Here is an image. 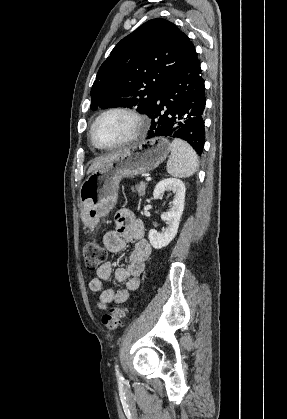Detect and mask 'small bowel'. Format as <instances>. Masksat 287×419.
I'll list each match as a JSON object with an SVG mask.
<instances>
[{
  "instance_id": "obj_1",
  "label": "small bowel",
  "mask_w": 287,
  "mask_h": 419,
  "mask_svg": "<svg viewBox=\"0 0 287 419\" xmlns=\"http://www.w3.org/2000/svg\"><path fill=\"white\" fill-rule=\"evenodd\" d=\"M115 229L107 231L103 236L105 247L113 253L125 249L126 245L134 242V248L129 255L127 267L113 270L112 264L107 262L97 269V276L90 281V289L99 292L98 306L107 308L111 303H125L131 292L138 290L140 275L145 269V263L151 253V246L144 238V225L135 218L129 210H120L115 216ZM112 273L117 282H125L124 288L114 290L104 288V282Z\"/></svg>"
}]
</instances>
